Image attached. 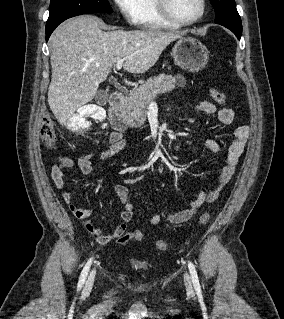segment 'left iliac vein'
<instances>
[{
  "mask_svg": "<svg viewBox=\"0 0 284 319\" xmlns=\"http://www.w3.org/2000/svg\"><path fill=\"white\" fill-rule=\"evenodd\" d=\"M184 281H185V286H186L187 290L191 291L192 290V283H191L190 275L187 272H185V274H184Z\"/></svg>",
  "mask_w": 284,
  "mask_h": 319,
  "instance_id": "obj_1",
  "label": "left iliac vein"
}]
</instances>
